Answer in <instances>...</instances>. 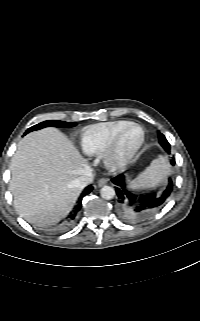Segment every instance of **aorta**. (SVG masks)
<instances>
[{"label": "aorta", "instance_id": "1", "mask_svg": "<svg viewBox=\"0 0 200 321\" xmlns=\"http://www.w3.org/2000/svg\"><path fill=\"white\" fill-rule=\"evenodd\" d=\"M101 197L105 200H111L115 196V190L110 186H104L100 191Z\"/></svg>", "mask_w": 200, "mask_h": 321}]
</instances>
